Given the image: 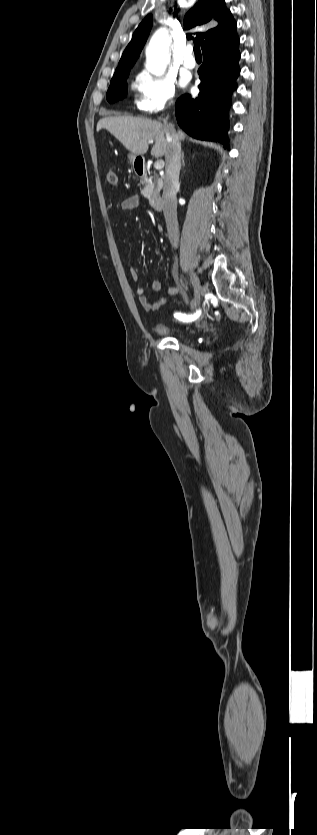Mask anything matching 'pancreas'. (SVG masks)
<instances>
[{
  "label": "pancreas",
  "instance_id": "cf45deb5",
  "mask_svg": "<svg viewBox=\"0 0 317 835\" xmlns=\"http://www.w3.org/2000/svg\"><path fill=\"white\" fill-rule=\"evenodd\" d=\"M143 188L141 189V194L149 200V203L152 202L159 197V191L162 188V180L159 178L154 179L152 181V177L145 178L142 181Z\"/></svg>",
  "mask_w": 317,
  "mask_h": 835
}]
</instances>
